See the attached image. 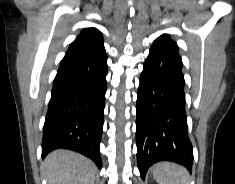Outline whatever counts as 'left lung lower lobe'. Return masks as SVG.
<instances>
[{
  "instance_id": "left-lung-lower-lobe-1",
  "label": "left lung lower lobe",
  "mask_w": 235,
  "mask_h": 184,
  "mask_svg": "<svg viewBox=\"0 0 235 184\" xmlns=\"http://www.w3.org/2000/svg\"><path fill=\"white\" fill-rule=\"evenodd\" d=\"M182 67L175 41L167 34L158 37L144 63L137 93V163L142 179L158 161L176 162L192 171Z\"/></svg>"
}]
</instances>
